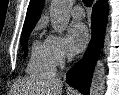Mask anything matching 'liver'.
Instances as JSON below:
<instances>
[{"label": "liver", "instance_id": "6515ba94", "mask_svg": "<svg viewBox=\"0 0 119 95\" xmlns=\"http://www.w3.org/2000/svg\"><path fill=\"white\" fill-rule=\"evenodd\" d=\"M19 87L24 90L23 93L31 89L37 95H62L63 83L58 78L41 75L21 81Z\"/></svg>", "mask_w": 119, "mask_h": 95}]
</instances>
